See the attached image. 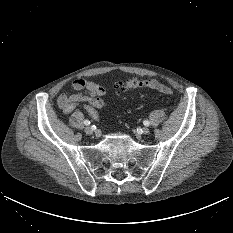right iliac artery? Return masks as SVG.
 I'll use <instances>...</instances> for the list:
<instances>
[{
  "label": "right iliac artery",
  "instance_id": "right-iliac-artery-1",
  "mask_svg": "<svg viewBox=\"0 0 233 233\" xmlns=\"http://www.w3.org/2000/svg\"><path fill=\"white\" fill-rule=\"evenodd\" d=\"M84 124H85V125H89V124H90V121L86 119V120L84 121Z\"/></svg>",
  "mask_w": 233,
  "mask_h": 233
}]
</instances>
